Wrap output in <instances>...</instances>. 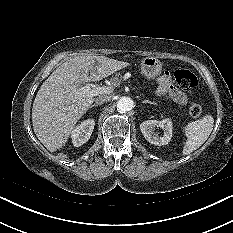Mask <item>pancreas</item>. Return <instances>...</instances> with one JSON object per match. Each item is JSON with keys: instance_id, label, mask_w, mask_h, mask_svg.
<instances>
[{"instance_id": "pancreas-1", "label": "pancreas", "mask_w": 233, "mask_h": 233, "mask_svg": "<svg viewBox=\"0 0 233 233\" xmlns=\"http://www.w3.org/2000/svg\"><path fill=\"white\" fill-rule=\"evenodd\" d=\"M110 83L112 85V87H116L120 84V75L117 74L115 76H112L110 79Z\"/></svg>"}]
</instances>
